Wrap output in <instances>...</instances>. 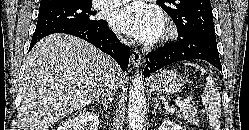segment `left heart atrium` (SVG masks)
<instances>
[{
  "instance_id": "left-heart-atrium-1",
  "label": "left heart atrium",
  "mask_w": 249,
  "mask_h": 130,
  "mask_svg": "<svg viewBox=\"0 0 249 130\" xmlns=\"http://www.w3.org/2000/svg\"><path fill=\"white\" fill-rule=\"evenodd\" d=\"M113 27L141 42H153L163 31L161 12L143 0H136L115 11L112 15Z\"/></svg>"
}]
</instances>
